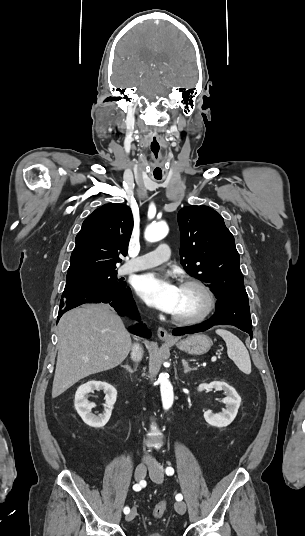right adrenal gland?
<instances>
[{
	"instance_id": "right-adrenal-gland-1",
	"label": "right adrenal gland",
	"mask_w": 305,
	"mask_h": 536,
	"mask_svg": "<svg viewBox=\"0 0 305 536\" xmlns=\"http://www.w3.org/2000/svg\"><path fill=\"white\" fill-rule=\"evenodd\" d=\"M122 368H126L127 372H130V374H133V372H136L137 366H135L134 370H132L130 366H122Z\"/></svg>"
}]
</instances>
